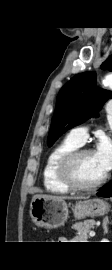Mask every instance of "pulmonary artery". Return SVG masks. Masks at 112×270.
<instances>
[{
	"label": "pulmonary artery",
	"instance_id": "1",
	"mask_svg": "<svg viewBox=\"0 0 112 270\" xmlns=\"http://www.w3.org/2000/svg\"><path fill=\"white\" fill-rule=\"evenodd\" d=\"M107 114L112 116V102L107 106ZM70 138L79 143L80 145L84 144L88 137V128L86 127H76L69 132Z\"/></svg>",
	"mask_w": 112,
	"mask_h": 270
}]
</instances>
